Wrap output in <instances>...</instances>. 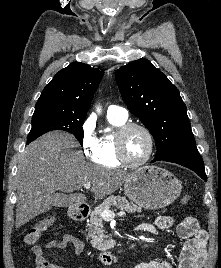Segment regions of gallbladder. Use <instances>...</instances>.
Listing matches in <instances>:
<instances>
[{
  "mask_svg": "<svg viewBox=\"0 0 221 268\" xmlns=\"http://www.w3.org/2000/svg\"><path fill=\"white\" fill-rule=\"evenodd\" d=\"M56 197L58 198V202H57V204L55 205V207H64V206H68L69 203L71 202L70 198L67 197V196L64 195V194L57 193V194H56Z\"/></svg>",
  "mask_w": 221,
  "mask_h": 268,
  "instance_id": "obj_1",
  "label": "gallbladder"
}]
</instances>
